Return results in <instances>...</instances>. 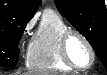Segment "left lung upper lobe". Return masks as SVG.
<instances>
[{"mask_svg": "<svg viewBox=\"0 0 107 75\" xmlns=\"http://www.w3.org/2000/svg\"><path fill=\"white\" fill-rule=\"evenodd\" d=\"M57 9L89 41L107 69V12L104 0H55Z\"/></svg>", "mask_w": 107, "mask_h": 75, "instance_id": "1", "label": "left lung upper lobe"}]
</instances>
